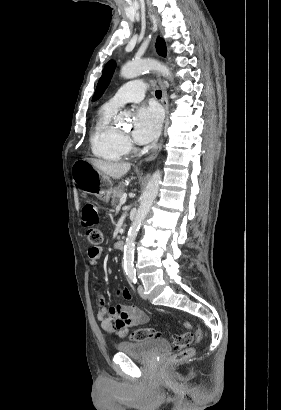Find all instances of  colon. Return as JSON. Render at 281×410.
<instances>
[{
  "instance_id": "1",
  "label": "colon",
  "mask_w": 281,
  "mask_h": 410,
  "mask_svg": "<svg viewBox=\"0 0 281 410\" xmlns=\"http://www.w3.org/2000/svg\"><path fill=\"white\" fill-rule=\"evenodd\" d=\"M83 223L87 227L86 235L88 241L97 246L102 242V232L96 227L98 223L97 207L93 203H88L83 208ZM185 332L177 336L173 343L178 351L170 356V363L177 364L189 358L193 351L190 345L194 338L201 340L204 336V331L200 326H193L190 322H182ZM160 332L149 327L139 328L131 332L130 339L134 342H139L151 338H159Z\"/></svg>"
}]
</instances>
